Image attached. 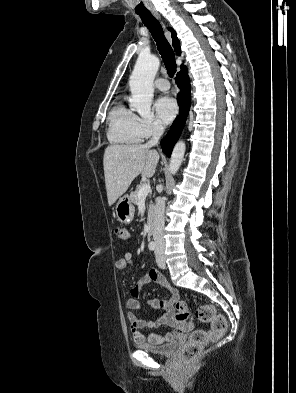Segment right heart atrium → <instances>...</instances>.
Wrapping results in <instances>:
<instances>
[{
  "label": "right heart atrium",
  "instance_id": "obj_1",
  "mask_svg": "<svg viewBox=\"0 0 296 393\" xmlns=\"http://www.w3.org/2000/svg\"><path fill=\"white\" fill-rule=\"evenodd\" d=\"M139 129L141 137L148 139L159 135L163 126L157 119H140Z\"/></svg>",
  "mask_w": 296,
  "mask_h": 393
}]
</instances>
